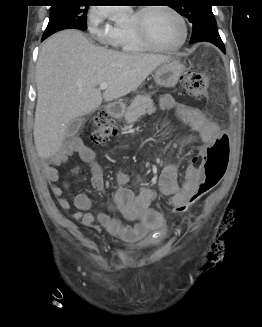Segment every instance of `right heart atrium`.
<instances>
[{
	"label": "right heart atrium",
	"instance_id": "d8ad5b80",
	"mask_svg": "<svg viewBox=\"0 0 262 327\" xmlns=\"http://www.w3.org/2000/svg\"><path fill=\"white\" fill-rule=\"evenodd\" d=\"M87 29L101 44L116 45L118 32L109 18L106 7L95 6L87 14Z\"/></svg>",
	"mask_w": 262,
	"mask_h": 327
}]
</instances>
